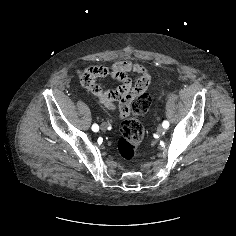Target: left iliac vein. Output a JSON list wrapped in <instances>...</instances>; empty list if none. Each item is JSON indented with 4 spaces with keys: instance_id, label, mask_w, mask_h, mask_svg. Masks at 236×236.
<instances>
[{
    "instance_id": "obj_1",
    "label": "left iliac vein",
    "mask_w": 236,
    "mask_h": 236,
    "mask_svg": "<svg viewBox=\"0 0 236 236\" xmlns=\"http://www.w3.org/2000/svg\"><path fill=\"white\" fill-rule=\"evenodd\" d=\"M157 131H158L159 133H162V132L165 131V128H164L163 126H159L158 129H157Z\"/></svg>"
}]
</instances>
